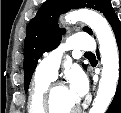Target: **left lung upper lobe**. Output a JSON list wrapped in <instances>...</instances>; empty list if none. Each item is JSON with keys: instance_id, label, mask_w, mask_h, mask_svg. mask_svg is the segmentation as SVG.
Listing matches in <instances>:
<instances>
[{"instance_id": "left-lung-upper-lobe-1", "label": "left lung upper lobe", "mask_w": 121, "mask_h": 113, "mask_svg": "<svg viewBox=\"0 0 121 113\" xmlns=\"http://www.w3.org/2000/svg\"><path fill=\"white\" fill-rule=\"evenodd\" d=\"M93 8L111 22L117 17L110 0H48L30 20L24 45V88L28 90L38 59L44 52L54 49L61 40L57 18L73 8ZM84 31L92 34L88 27Z\"/></svg>"}]
</instances>
